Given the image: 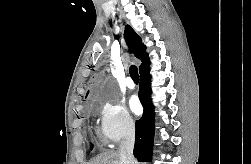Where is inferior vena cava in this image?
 I'll return each instance as SVG.
<instances>
[{
	"instance_id": "obj_1",
	"label": "inferior vena cava",
	"mask_w": 251,
	"mask_h": 164,
	"mask_svg": "<svg viewBox=\"0 0 251 164\" xmlns=\"http://www.w3.org/2000/svg\"><path fill=\"white\" fill-rule=\"evenodd\" d=\"M134 143L135 125L133 122H130L119 147V155L122 164H136L133 157Z\"/></svg>"
}]
</instances>
